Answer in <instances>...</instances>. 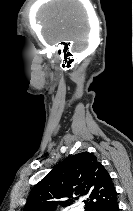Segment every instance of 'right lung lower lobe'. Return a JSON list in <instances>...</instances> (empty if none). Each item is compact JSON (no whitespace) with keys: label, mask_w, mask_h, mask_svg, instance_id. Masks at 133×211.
<instances>
[{"label":"right lung lower lobe","mask_w":133,"mask_h":211,"mask_svg":"<svg viewBox=\"0 0 133 211\" xmlns=\"http://www.w3.org/2000/svg\"><path fill=\"white\" fill-rule=\"evenodd\" d=\"M98 211H119L118 203L115 202L110 206L103 207L101 209H98Z\"/></svg>","instance_id":"right-lung-lower-lobe-1"}]
</instances>
